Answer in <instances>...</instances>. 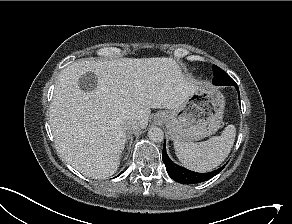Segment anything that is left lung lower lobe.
<instances>
[{
    "instance_id": "obj_1",
    "label": "left lung lower lobe",
    "mask_w": 292,
    "mask_h": 224,
    "mask_svg": "<svg viewBox=\"0 0 292 224\" xmlns=\"http://www.w3.org/2000/svg\"><path fill=\"white\" fill-rule=\"evenodd\" d=\"M226 80H228L227 82H223L220 83L221 85H232L235 86L237 91H238V95H239V89L237 84L234 82V80L228 75L226 74ZM162 159L163 162L166 166V170L169 173V176L175 180L178 183L181 184H195V183H200L203 181H206L212 177H214L215 175H217L224 167H221L220 169H217L215 171L209 172V173H197V172H193L190 171L184 167L178 166L177 164L173 163L165 150V142H164V148L162 151Z\"/></svg>"
}]
</instances>
